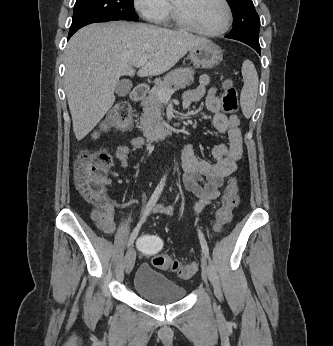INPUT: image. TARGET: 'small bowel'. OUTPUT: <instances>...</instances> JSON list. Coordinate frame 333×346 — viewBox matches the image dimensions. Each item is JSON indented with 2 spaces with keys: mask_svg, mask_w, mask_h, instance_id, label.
<instances>
[{
  "mask_svg": "<svg viewBox=\"0 0 333 346\" xmlns=\"http://www.w3.org/2000/svg\"><path fill=\"white\" fill-rule=\"evenodd\" d=\"M210 78L202 75L197 87L187 90L182 97L184 108L201 100L206 95V106L213 114V125L216 130L227 135L228 143L216 144L212 148L213 162L199 158L195 155L191 144L182 147L183 183L185 188L199 198L194 207V212L199 213L205 206L220 196V187L226 177L236 169V161L242 156V138L240 119L236 114L226 115L221 111V100L216 94V88L207 86ZM145 141L136 138L130 145H120L116 148L115 157L121 169L128 167L129 160L135 152L143 148ZM181 209V205L166 206L157 204L152 211L159 214H173ZM91 219L105 234L114 235L116 225L114 221V202L108 198L104 203L93 209Z\"/></svg>",
  "mask_w": 333,
  "mask_h": 346,
  "instance_id": "c3829d8e",
  "label": "small bowel"
}]
</instances>
